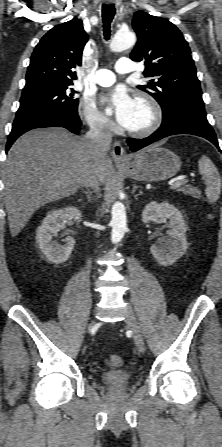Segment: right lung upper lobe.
<instances>
[{
    "label": "right lung upper lobe",
    "instance_id": "1",
    "mask_svg": "<svg viewBox=\"0 0 222 447\" xmlns=\"http://www.w3.org/2000/svg\"><path fill=\"white\" fill-rule=\"evenodd\" d=\"M88 41L82 21L72 19L56 25L40 40L31 56L24 89L46 85L73 84Z\"/></svg>",
    "mask_w": 222,
    "mask_h": 447
}]
</instances>
